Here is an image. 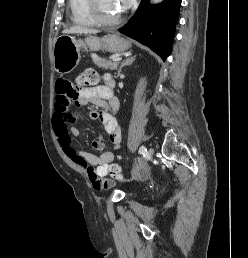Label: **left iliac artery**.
Instances as JSON below:
<instances>
[{"label": "left iliac artery", "instance_id": "44dca946", "mask_svg": "<svg viewBox=\"0 0 248 258\" xmlns=\"http://www.w3.org/2000/svg\"><path fill=\"white\" fill-rule=\"evenodd\" d=\"M139 153L142 155H146L147 154V149L145 146H141L139 149Z\"/></svg>", "mask_w": 248, "mask_h": 258}]
</instances>
